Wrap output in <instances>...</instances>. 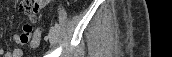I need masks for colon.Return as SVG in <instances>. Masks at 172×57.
Instances as JSON below:
<instances>
[{
    "instance_id": "1",
    "label": "colon",
    "mask_w": 172,
    "mask_h": 57,
    "mask_svg": "<svg viewBox=\"0 0 172 57\" xmlns=\"http://www.w3.org/2000/svg\"><path fill=\"white\" fill-rule=\"evenodd\" d=\"M36 31H38V32L41 33L42 29L41 28H38V29H36Z\"/></svg>"
}]
</instances>
